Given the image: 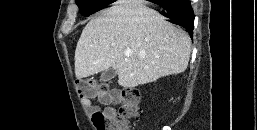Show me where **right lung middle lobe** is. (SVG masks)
Instances as JSON below:
<instances>
[{"mask_svg":"<svg viewBox=\"0 0 257 130\" xmlns=\"http://www.w3.org/2000/svg\"><path fill=\"white\" fill-rule=\"evenodd\" d=\"M109 2L110 0H76L80 12L84 16H88L112 3Z\"/></svg>","mask_w":257,"mask_h":130,"instance_id":"1","label":"right lung middle lobe"}]
</instances>
